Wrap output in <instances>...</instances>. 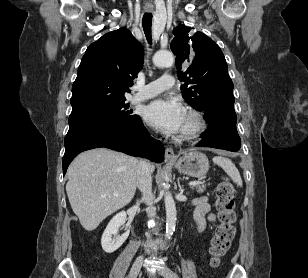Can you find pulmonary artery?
Segmentation results:
<instances>
[{
  "label": "pulmonary artery",
  "instance_id": "obj_1",
  "mask_svg": "<svg viewBox=\"0 0 308 278\" xmlns=\"http://www.w3.org/2000/svg\"><path fill=\"white\" fill-rule=\"evenodd\" d=\"M174 78L171 75L165 74L159 79L137 89V92L132 98L133 103L145 101L157 96L159 93L172 88Z\"/></svg>",
  "mask_w": 308,
  "mask_h": 278
}]
</instances>
